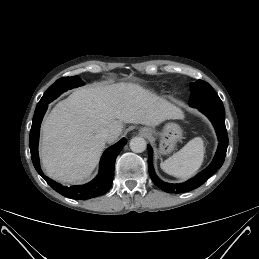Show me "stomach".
<instances>
[{
  "mask_svg": "<svg viewBox=\"0 0 259 259\" xmlns=\"http://www.w3.org/2000/svg\"><path fill=\"white\" fill-rule=\"evenodd\" d=\"M158 135L160 137L159 152L169 154L174 150L176 143L182 139L183 131L178 124L170 122Z\"/></svg>",
  "mask_w": 259,
  "mask_h": 259,
  "instance_id": "stomach-1",
  "label": "stomach"
}]
</instances>
